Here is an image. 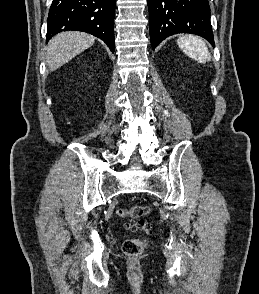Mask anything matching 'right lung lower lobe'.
I'll return each instance as SVG.
<instances>
[{
  "label": "right lung lower lobe",
  "mask_w": 259,
  "mask_h": 294,
  "mask_svg": "<svg viewBox=\"0 0 259 294\" xmlns=\"http://www.w3.org/2000/svg\"><path fill=\"white\" fill-rule=\"evenodd\" d=\"M116 0H53L47 20V40L62 31L78 30L103 40L114 52Z\"/></svg>",
  "instance_id": "obj_1"
}]
</instances>
